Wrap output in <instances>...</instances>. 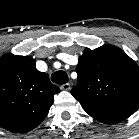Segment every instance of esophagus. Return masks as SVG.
Wrapping results in <instances>:
<instances>
[{
	"label": "esophagus",
	"mask_w": 139,
	"mask_h": 139,
	"mask_svg": "<svg viewBox=\"0 0 139 139\" xmlns=\"http://www.w3.org/2000/svg\"><path fill=\"white\" fill-rule=\"evenodd\" d=\"M60 89L61 90H65V91L70 90L71 89V85L69 83H65V84L60 86Z\"/></svg>",
	"instance_id": "34e87169"
}]
</instances>
